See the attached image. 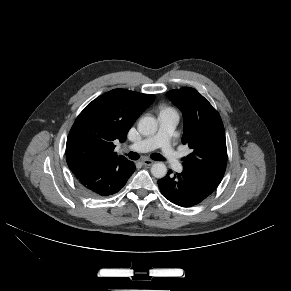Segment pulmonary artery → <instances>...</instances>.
<instances>
[{
    "label": "pulmonary artery",
    "mask_w": 291,
    "mask_h": 291,
    "mask_svg": "<svg viewBox=\"0 0 291 291\" xmlns=\"http://www.w3.org/2000/svg\"><path fill=\"white\" fill-rule=\"evenodd\" d=\"M158 121L159 129L155 135L133 143L129 148L137 152H148L160 148L165 160L175 171L180 173L183 170V166L171 141L173 132L179 121V116L173 110L165 111L159 114Z\"/></svg>",
    "instance_id": "obj_1"
}]
</instances>
